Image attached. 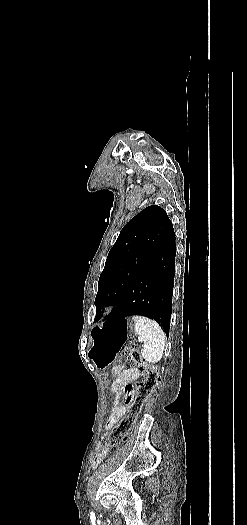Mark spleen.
Instances as JSON below:
<instances>
[{"mask_svg":"<svg viewBox=\"0 0 247 525\" xmlns=\"http://www.w3.org/2000/svg\"><path fill=\"white\" fill-rule=\"evenodd\" d=\"M135 321V333L138 335L139 343H143L141 355L147 363H158L161 361L165 349V333L156 321L147 317H133Z\"/></svg>","mask_w":247,"mask_h":525,"instance_id":"3e777b00","label":"spleen"}]
</instances>
